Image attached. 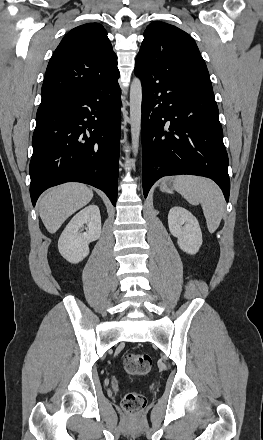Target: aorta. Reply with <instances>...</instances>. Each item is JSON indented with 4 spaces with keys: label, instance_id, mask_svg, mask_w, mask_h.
Listing matches in <instances>:
<instances>
[{
    "label": "aorta",
    "instance_id": "1",
    "mask_svg": "<svg viewBox=\"0 0 263 440\" xmlns=\"http://www.w3.org/2000/svg\"><path fill=\"white\" fill-rule=\"evenodd\" d=\"M141 105H142V84L139 78H134L130 87V125L132 149L136 156L139 148L141 131Z\"/></svg>",
    "mask_w": 263,
    "mask_h": 440
}]
</instances>
